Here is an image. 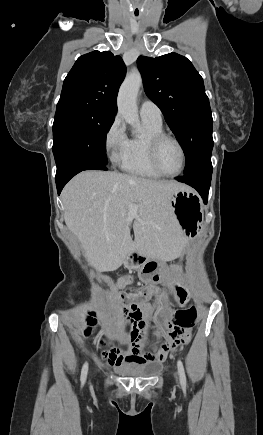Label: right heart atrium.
Returning <instances> with one entry per match:
<instances>
[{
    "label": "right heart atrium",
    "mask_w": 263,
    "mask_h": 435,
    "mask_svg": "<svg viewBox=\"0 0 263 435\" xmlns=\"http://www.w3.org/2000/svg\"><path fill=\"white\" fill-rule=\"evenodd\" d=\"M127 140L124 124L121 118L116 116L107 128L104 137L105 150L112 162H121Z\"/></svg>",
    "instance_id": "right-heart-atrium-1"
}]
</instances>
